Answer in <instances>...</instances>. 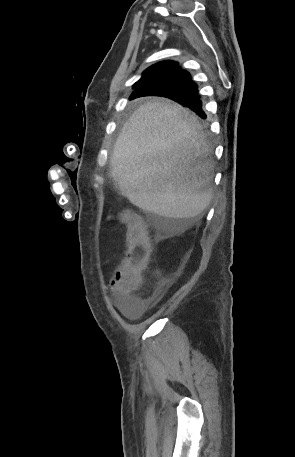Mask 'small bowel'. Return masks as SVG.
Masks as SVG:
<instances>
[{
  "label": "small bowel",
  "mask_w": 295,
  "mask_h": 457,
  "mask_svg": "<svg viewBox=\"0 0 295 457\" xmlns=\"http://www.w3.org/2000/svg\"><path fill=\"white\" fill-rule=\"evenodd\" d=\"M115 275L111 281V287L116 294L117 304L122 313L128 317H136L144 313L149 307V302L145 299L135 298L131 293H123L121 290V279Z\"/></svg>",
  "instance_id": "1"
}]
</instances>
